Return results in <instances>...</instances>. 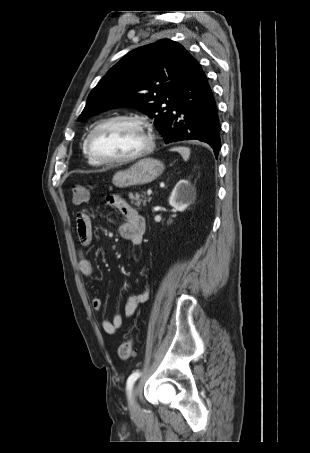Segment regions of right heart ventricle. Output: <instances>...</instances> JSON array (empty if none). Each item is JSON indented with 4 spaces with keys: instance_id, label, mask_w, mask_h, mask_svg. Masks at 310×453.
<instances>
[{
    "instance_id": "right-heart-ventricle-1",
    "label": "right heart ventricle",
    "mask_w": 310,
    "mask_h": 453,
    "mask_svg": "<svg viewBox=\"0 0 310 453\" xmlns=\"http://www.w3.org/2000/svg\"><path fill=\"white\" fill-rule=\"evenodd\" d=\"M82 150H83L84 155H85L86 158H87V161H88L89 165H91V166H93V167H99V166L102 165L101 163H99V162L93 160V159L89 156V154H88L87 151H86L85 140H84L83 145H82Z\"/></svg>"
}]
</instances>
